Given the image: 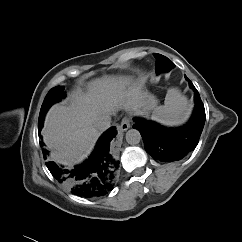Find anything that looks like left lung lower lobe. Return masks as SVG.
I'll list each match as a JSON object with an SVG mask.
<instances>
[{
    "mask_svg": "<svg viewBox=\"0 0 242 242\" xmlns=\"http://www.w3.org/2000/svg\"><path fill=\"white\" fill-rule=\"evenodd\" d=\"M187 80L194 90L196 104L194 113L186 125L179 128H166L152 121L134 119L136 123L133 128L139 130L145 150L155 160L179 161L194 150L198 144L206 119L205 109L198 91L188 78Z\"/></svg>",
    "mask_w": 242,
    "mask_h": 242,
    "instance_id": "0a47b994",
    "label": "left lung lower lobe"
}]
</instances>
